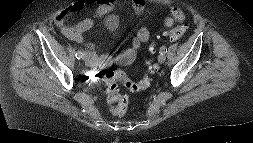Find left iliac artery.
Instances as JSON below:
<instances>
[{"mask_svg": "<svg viewBox=\"0 0 253 143\" xmlns=\"http://www.w3.org/2000/svg\"><path fill=\"white\" fill-rule=\"evenodd\" d=\"M167 52V48L165 47V46H162L161 48H160V53L161 54H165Z\"/></svg>", "mask_w": 253, "mask_h": 143, "instance_id": "obj_1", "label": "left iliac artery"}]
</instances>
